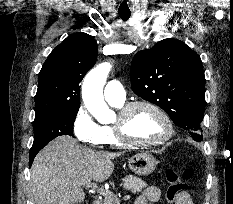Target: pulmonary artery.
I'll use <instances>...</instances> for the list:
<instances>
[{
    "label": "pulmonary artery",
    "instance_id": "obj_1",
    "mask_svg": "<svg viewBox=\"0 0 233 204\" xmlns=\"http://www.w3.org/2000/svg\"><path fill=\"white\" fill-rule=\"evenodd\" d=\"M104 97L108 102L123 103L126 93L121 82L118 80L109 81L104 87Z\"/></svg>",
    "mask_w": 233,
    "mask_h": 204
}]
</instances>
